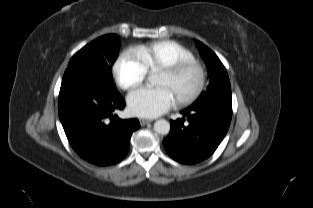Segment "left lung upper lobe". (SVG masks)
<instances>
[{
	"label": "left lung upper lobe",
	"mask_w": 313,
	"mask_h": 208,
	"mask_svg": "<svg viewBox=\"0 0 313 208\" xmlns=\"http://www.w3.org/2000/svg\"><path fill=\"white\" fill-rule=\"evenodd\" d=\"M196 46L209 73V86L202 92L194 104L205 101H231V86L227 71L216 54L200 41H196Z\"/></svg>",
	"instance_id": "5c2ea615"
}]
</instances>
